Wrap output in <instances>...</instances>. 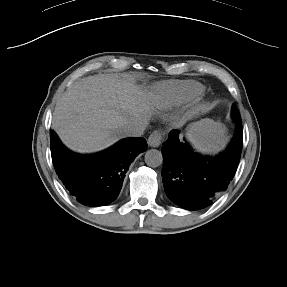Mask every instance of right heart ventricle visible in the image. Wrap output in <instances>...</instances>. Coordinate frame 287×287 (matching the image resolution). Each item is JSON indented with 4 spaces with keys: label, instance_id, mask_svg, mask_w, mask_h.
I'll list each match as a JSON object with an SVG mask.
<instances>
[{
    "label": "right heart ventricle",
    "instance_id": "right-heart-ventricle-1",
    "mask_svg": "<svg viewBox=\"0 0 287 287\" xmlns=\"http://www.w3.org/2000/svg\"><path fill=\"white\" fill-rule=\"evenodd\" d=\"M156 90L164 105L179 106L199 96L204 88L194 81H177L162 83Z\"/></svg>",
    "mask_w": 287,
    "mask_h": 287
}]
</instances>
